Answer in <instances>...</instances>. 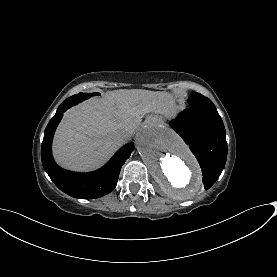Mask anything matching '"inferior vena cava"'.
<instances>
[{
    "label": "inferior vena cava",
    "instance_id": "obj_1",
    "mask_svg": "<svg viewBox=\"0 0 277 277\" xmlns=\"http://www.w3.org/2000/svg\"><path fill=\"white\" fill-rule=\"evenodd\" d=\"M133 134V130H117L115 132L116 138L121 142L125 143L129 137Z\"/></svg>",
    "mask_w": 277,
    "mask_h": 277
}]
</instances>
